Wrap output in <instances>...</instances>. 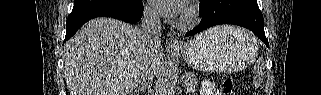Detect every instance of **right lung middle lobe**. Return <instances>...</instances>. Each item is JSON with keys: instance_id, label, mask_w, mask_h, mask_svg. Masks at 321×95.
Returning a JSON list of instances; mask_svg holds the SVG:
<instances>
[{"instance_id": "right-lung-middle-lobe-1", "label": "right lung middle lobe", "mask_w": 321, "mask_h": 95, "mask_svg": "<svg viewBox=\"0 0 321 95\" xmlns=\"http://www.w3.org/2000/svg\"><path fill=\"white\" fill-rule=\"evenodd\" d=\"M140 3V0H74L72 12L102 8H114L126 11L135 8Z\"/></svg>"}]
</instances>
